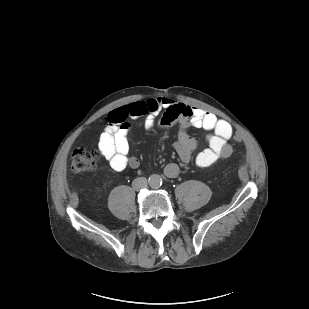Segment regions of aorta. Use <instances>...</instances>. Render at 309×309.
<instances>
[{
  "label": "aorta",
  "instance_id": "1",
  "mask_svg": "<svg viewBox=\"0 0 309 309\" xmlns=\"http://www.w3.org/2000/svg\"><path fill=\"white\" fill-rule=\"evenodd\" d=\"M149 185L152 188H157L162 184V178L158 174H152L148 179Z\"/></svg>",
  "mask_w": 309,
  "mask_h": 309
}]
</instances>
